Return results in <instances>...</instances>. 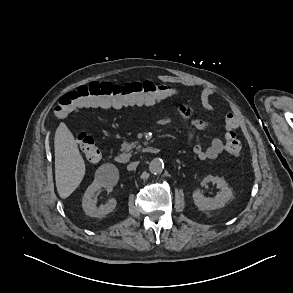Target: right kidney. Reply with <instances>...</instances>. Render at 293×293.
Segmentation results:
<instances>
[{"mask_svg": "<svg viewBox=\"0 0 293 293\" xmlns=\"http://www.w3.org/2000/svg\"><path fill=\"white\" fill-rule=\"evenodd\" d=\"M109 169L113 173V180L96 177L84 193V198L82 200V208L85 214L90 217L102 218L108 213L112 212L116 207L117 202L115 199L112 198L108 201V203L101 206L100 208H97V200L94 198V194L97 190H99L102 187H112L116 183V180L118 179V170L114 166H109Z\"/></svg>", "mask_w": 293, "mask_h": 293, "instance_id": "ca27d5eb", "label": "right kidney"}]
</instances>
